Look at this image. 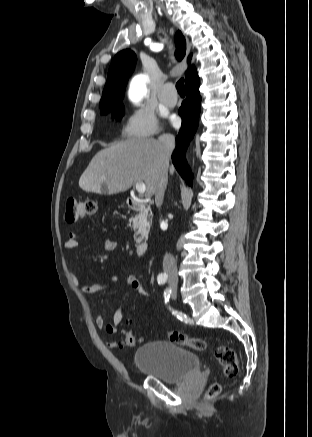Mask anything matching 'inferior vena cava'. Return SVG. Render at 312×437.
<instances>
[{
  "label": "inferior vena cava",
  "mask_w": 312,
  "mask_h": 437,
  "mask_svg": "<svg viewBox=\"0 0 312 437\" xmlns=\"http://www.w3.org/2000/svg\"><path fill=\"white\" fill-rule=\"evenodd\" d=\"M160 143V154L164 161H169V158L175 148V138L171 134H162L159 136ZM168 175L167 171L163 170L160 174L159 181L157 184L155 192L156 205L160 207L163 202L165 189L167 186ZM163 269L169 274H177V265L175 258L170 254L166 253L163 258Z\"/></svg>",
  "instance_id": "obj_1"
}]
</instances>
